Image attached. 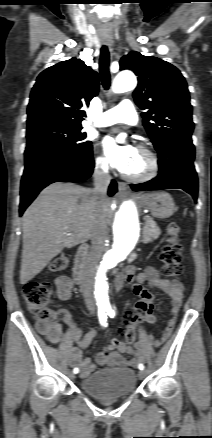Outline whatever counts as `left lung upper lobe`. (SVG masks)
<instances>
[{"instance_id":"1","label":"left lung upper lobe","mask_w":212,"mask_h":438,"mask_svg":"<svg viewBox=\"0 0 212 438\" xmlns=\"http://www.w3.org/2000/svg\"><path fill=\"white\" fill-rule=\"evenodd\" d=\"M120 69H130L138 76L133 97L146 110L143 125L156 150L169 141L191 138L194 123L189 91L175 66L133 51L122 57Z\"/></svg>"}]
</instances>
